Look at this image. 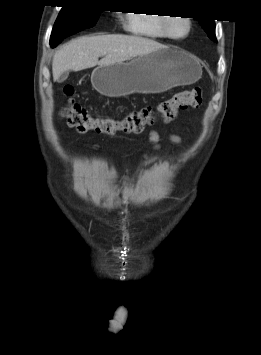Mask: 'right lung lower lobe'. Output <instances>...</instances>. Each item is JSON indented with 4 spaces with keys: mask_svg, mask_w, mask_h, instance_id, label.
<instances>
[{
    "mask_svg": "<svg viewBox=\"0 0 261 355\" xmlns=\"http://www.w3.org/2000/svg\"><path fill=\"white\" fill-rule=\"evenodd\" d=\"M62 41V40H61ZM61 41H56V42H53V43H50L51 47H55L57 46Z\"/></svg>",
    "mask_w": 261,
    "mask_h": 355,
    "instance_id": "right-lung-lower-lobe-1",
    "label": "right lung lower lobe"
}]
</instances>
